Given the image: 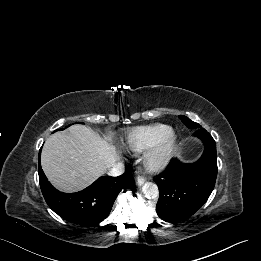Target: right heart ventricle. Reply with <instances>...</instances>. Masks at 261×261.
Instances as JSON below:
<instances>
[{
    "label": "right heart ventricle",
    "instance_id": "1",
    "mask_svg": "<svg viewBox=\"0 0 261 261\" xmlns=\"http://www.w3.org/2000/svg\"><path fill=\"white\" fill-rule=\"evenodd\" d=\"M170 132L171 128L164 124L137 127L127 134L125 147L131 152L139 154L151 148Z\"/></svg>",
    "mask_w": 261,
    "mask_h": 261
}]
</instances>
